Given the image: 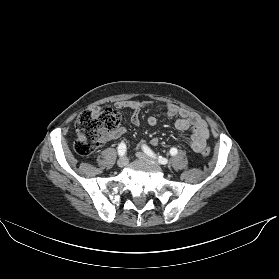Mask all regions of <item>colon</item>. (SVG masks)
Wrapping results in <instances>:
<instances>
[{
  "instance_id": "1",
  "label": "colon",
  "mask_w": 279,
  "mask_h": 279,
  "mask_svg": "<svg viewBox=\"0 0 279 279\" xmlns=\"http://www.w3.org/2000/svg\"><path fill=\"white\" fill-rule=\"evenodd\" d=\"M119 124V113L111 108L81 112L75 123V151L80 156L91 155L106 138L117 130ZM200 153L208 156L210 149L205 147Z\"/></svg>"
}]
</instances>
